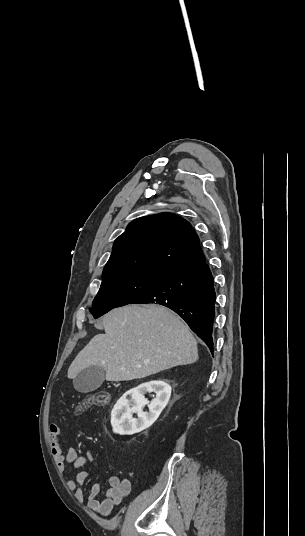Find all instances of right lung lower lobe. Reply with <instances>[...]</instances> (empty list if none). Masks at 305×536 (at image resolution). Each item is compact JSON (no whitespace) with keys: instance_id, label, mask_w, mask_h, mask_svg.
Instances as JSON below:
<instances>
[{"instance_id":"right-lung-lower-lobe-1","label":"right lung lower lobe","mask_w":305,"mask_h":536,"mask_svg":"<svg viewBox=\"0 0 305 536\" xmlns=\"http://www.w3.org/2000/svg\"><path fill=\"white\" fill-rule=\"evenodd\" d=\"M158 303L180 315L213 353V278L205 258L168 275L132 304Z\"/></svg>"}]
</instances>
